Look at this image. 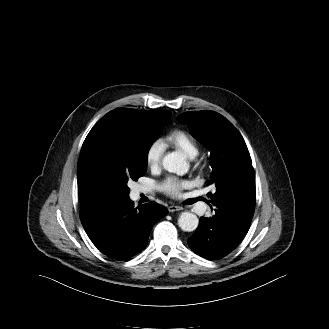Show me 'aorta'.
I'll use <instances>...</instances> for the list:
<instances>
[{
	"label": "aorta",
	"mask_w": 329,
	"mask_h": 329,
	"mask_svg": "<svg viewBox=\"0 0 329 329\" xmlns=\"http://www.w3.org/2000/svg\"><path fill=\"white\" fill-rule=\"evenodd\" d=\"M162 165L165 170L178 175H184L189 170V164L187 163L185 156L181 152L168 153L162 160ZM198 217L191 212H183L179 219V227L186 232H192L198 227Z\"/></svg>",
	"instance_id": "aorta-1"
}]
</instances>
